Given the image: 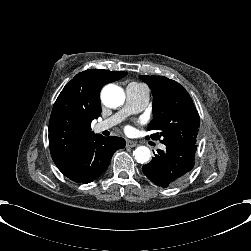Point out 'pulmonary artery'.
Listing matches in <instances>:
<instances>
[{
  "label": "pulmonary artery",
  "mask_w": 251,
  "mask_h": 251,
  "mask_svg": "<svg viewBox=\"0 0 251 251\" xmlns=\"http://www.w3.org/2000/svg\"><path fill=\"white\" fill-rule=\"evenodd\" d=\"M126 94L127 99L124 108L108 119L95 124L93 126V131L95 133H102L103 131L110 129L121 122L127 115L142 111L148 104V94L138 83H129L126 87ZM159 148L164 149L165 146L160 144Z\"/></svg>",
  "instance_id": "obj_1"
}]
</instances>
